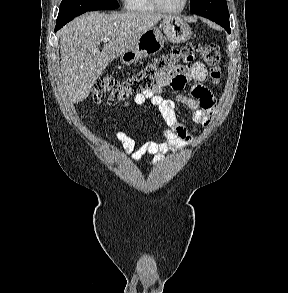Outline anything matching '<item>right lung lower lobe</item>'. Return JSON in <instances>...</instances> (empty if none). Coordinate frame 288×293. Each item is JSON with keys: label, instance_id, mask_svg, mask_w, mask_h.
<instances>
[{"label": "right lung lower lobe", "instance_id": "1", "mask_svg": "<svg viewBox=\"0 0 288 293\" xmlns=\"http://www.w3.org/2000/svg\"><path fill=\"white\" fill-rule=\"evenodd\" d=\"M63 27V26H62ZM61 27H55V31L59 30Z\"/></svg>", "mask_w": 288, "mask_h": 293}]
</instances>
